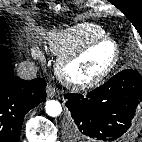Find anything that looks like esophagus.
Listing matches in <instances>:
<instances>
[{
	"instance_id": "esophagus-1",
	"label": "esophagus",
	"mask_w": 142,
	"mask_h": 142,
	"mask_svg": "<svg viewBox=\"0 0 142 142\" xmlns=\"http://www.w3.org/2000/svg\"><path fill=\"white\" fill-rule=\"evenodd\" d=\"M46 92L49 98H53L56 95V90L52 86H48Z\"/></svg>"
}]
</instances>
